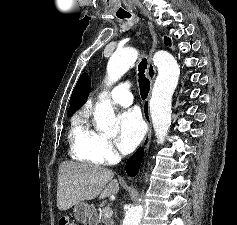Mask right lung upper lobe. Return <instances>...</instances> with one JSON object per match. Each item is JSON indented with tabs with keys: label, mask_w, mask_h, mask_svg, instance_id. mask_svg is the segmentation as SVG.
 Listing matches in <instances>:
<instances>
[{
	"label": "right lung upper lobe",
	"mask_w": 237,
	"mask_h": 225,
	"mask_svg": "<svg viewBox=\"0 0 237 225\" xmlns=\"http://www.w3.org/2000/svg\"><path fill=\"white\" fill-rule=\"evenodd\" d=\"M90 86V77L87 73H83L72 92L67 116L72 115L74 110L79 109L86 102L90 91Z\"/></svg>",
	"instance_id": "right-lung-upper-lobe-1"
}]
</instances>
